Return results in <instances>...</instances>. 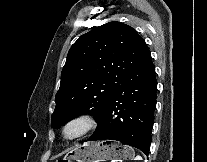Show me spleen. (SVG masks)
I'll list each match as a JSON object with an SVG mask.
<instances>
[{"mask_svg":"<svg viewBox=\"0 0 207 162\" xmlns=\"http://www.w3.org/2000/svg\"><path fill=\"white\" fill-rule=\"evenodd\" d=\"M135 160H142V158L138 155L135 157Z\"/></svg>","mask_w":207,"mask_h":162,"instance_id":"spleen-1","label":"spleen"}]
</instances>
